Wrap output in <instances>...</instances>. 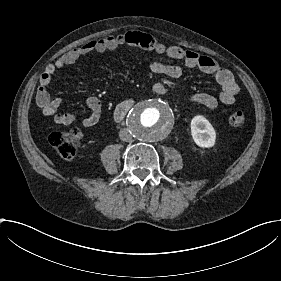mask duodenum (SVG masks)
Here are the masks:
<instances>
[{
	"mask_svg": "<svg viewBox=\"0 0 281 281\" xmlns=\"http://www.w3.org/2000/svg\"><path fill=\"white\" fill-rule=\"evenodd\" d=\"M133 104L134 103L132 100H127L120 103L114 111V119L117 122L122 121L126 117L128 111L132 108Z\"/></svg>",
	"mask_w": 281,
	"mask_h": 281,
	"instance_id": "obj_1",
	"label": "duodenum"
}]
</instances>
